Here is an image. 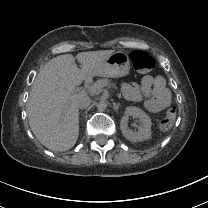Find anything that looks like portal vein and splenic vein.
Returning <instances> with one entry per match:
<instances>
[{
    "label": "portal vein and splenic vein",
    "mask_w": 208,
    "mask_h": 208,
    "mask_svg": "<svg viewBox=\"0 0 208 208\" xmlns=\"http://www.w3.org/2000/svg\"><path fill=\"white\" fill-rule=\"evenodd\" d=\"M107 84H108L107 80H101L99 82H95L92 85L88 86V90L92 93L97 92L103 87V85H107Z\"/></svg>",
    "instance_id": "obj_1"
}]
</instances>
